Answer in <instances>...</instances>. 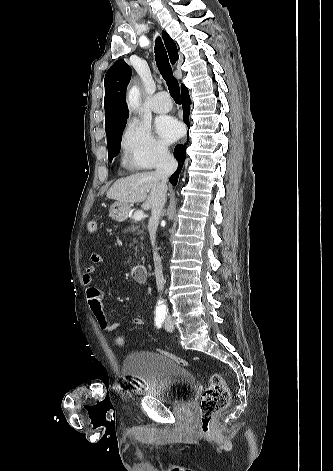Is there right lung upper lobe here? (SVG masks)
I'll list each match as a JSON object with an SVG mask.
<instances>
[{
    "label": "right lung upper lobe",
    "mask_w": 333,
    "mask_h": 471,
    "mask_svg": "<svg viewBox=\"0 0 333 471\" xmlns=\"http://www.w3.org/2000/svg\"><path fill=\"white\" fill-rule=\"evenodd\" d=\"M162 37L167 48L169 58L172 64L178 60V52L175 42L163 31ZM131 78V68L123 60L116 61L107 71L104 79L105 86V129L120 124L129 116L127 104L125 101L126 88ZM182 85L181 87H183Z\"/></svg>",
    "instance_id": "obj_1"
}]
</instances>
